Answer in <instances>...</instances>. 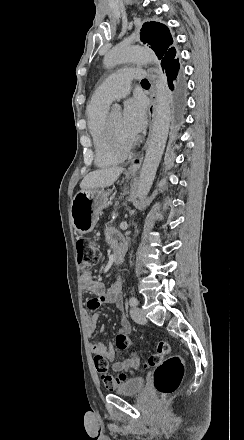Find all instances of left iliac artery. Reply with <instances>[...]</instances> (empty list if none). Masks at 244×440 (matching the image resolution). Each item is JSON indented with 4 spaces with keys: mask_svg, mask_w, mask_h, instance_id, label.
<instances>
[{
    "mask_svg": "<svg viewBox=\"0 0 244 440\" xmlns=\"http://www.w3.org/2000/svg\"><path fill=\"white\" fill-rule=\"evenodd\" d=\"M129 305H130L131 307H136V306L138 305V300H137V298L134 297V296L130 297V299H129Z\"/></svg>",
    "mask_w": 244,
    "mask_h": 440,
    "instance_id": "obj_1",
    "label": "left iliac artery"
}]
</instances>
